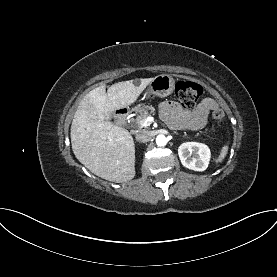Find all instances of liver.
<instances>
[{
    "instance_id": "1",
    "label": "liver",
    "mask_w": 277,
    "mask_h": 277,
    "mask_svg": "<svg viewBox=\"0 0 277 277\" xmlns=\"http://www.w3.org/2000/svg\"><path fill=\"white\" fill-rule=\"evenodd\" d=\"M154 78L101 85L86 94L71 125V144L76 158L93 174L116 183L135 176V146L128 130L109 119L116 109L133 104Z\"/></svg>"
}]
</instances>
